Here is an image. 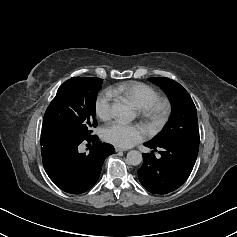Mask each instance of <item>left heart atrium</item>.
<instances>
[{
    "label": "left heart atrium",
    "instance_id": "obj_1",
    "mask_svg": "<svg viewBox=\"0 0 237 237\" xmlns=\"http://www.w3.org/2000/svg\"><path fill=\"white\" fill-rule=\"evenodd\" d=\"M146 130L140 126L116 121L103 130V138L120 148H129L146 137Z\"/></svg>",
    "mask_w": 237,
    "mask_h": 237
}]
</instances>
